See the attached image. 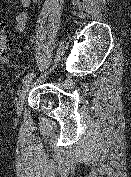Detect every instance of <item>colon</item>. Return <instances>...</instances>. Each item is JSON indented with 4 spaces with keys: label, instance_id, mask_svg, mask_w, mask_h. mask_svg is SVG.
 <instances>
[{
    "label": "colon",
    "instance_id": "colon-1",
    "mask_svg": "<svg viewBox=\"0 0 131 177\" xmlns=\"http://www.w3.org/2000/svg\"><path fill=\"white\" fill-rule=\"evenodd\" d=\"M10 37L4 24L0 25V61L5 62L10 53Z\"/></svg>",
    "mask_w": 131,
    "mask_h": 177
}]
</instances>
